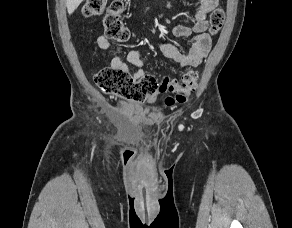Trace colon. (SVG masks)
<instances>
[{
  "label": "colon",
  "mask_w": 292,
  "mask_h": 228,
  "mask_svg": "<svg viewBox=\"0 0 292 228\" xmlns=\"http://www.w3.org/2000/svg\"><path fill=\"white\" fill-rule=\"evenodd\" d=\"M125 10L123 0H86L83 14L86 17L104 15L103 27L106 37L116 42H127L131 38V31L122 21ZM225 14L223 9L216 8L210 15V33L216 34L223 26ZM95 83L106 94L122 97L133 102H143L159 92L168 91L172 95L165 99L167 106L185 103L196 90L198 75L195 70H187L180 81L159 83L151 74L140 79L133 78L128 72L112 67L100 70L95 76Z\"/></svg>",
  "instance_id": "5ec220e1"
}]
</instances>
